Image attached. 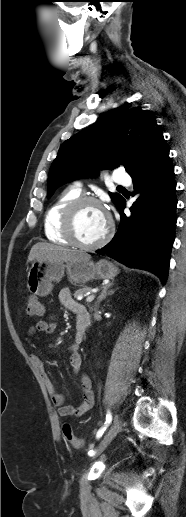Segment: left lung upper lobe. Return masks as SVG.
<instances>
[{
    "label": "left lung upper lobe",
    "mask_w": 186,
    "mask_h": 517,
    "mask_svg": "<svg viewBox=\"0 0 186 517\" xmlns=\"http://www.w3.org/2000/svg\"><path fill=\"white\" fill-rule=\"evenodd\" d=\"M163 138L155 116L141 108L118 107L60 147L48 177L47 197L78 178L120 165L130 174ZM116 206L123 197L110 193Z\"/></svg>",
    "instance_id": "5c2ea615"
}]
</instances>
